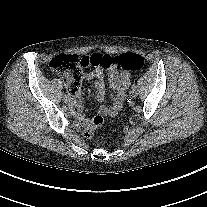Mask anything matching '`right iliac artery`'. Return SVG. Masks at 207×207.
Wrapping results in <instances>:
<instances>
[{"mask_svg":"<svg viewBox=\"0 0 207 207\" xmlns=\"http://www.w3.org/2000/svg\"><path fill=\"white\" fill-rule=\"evenodd\" d=\"M64 97H67L66 94L63 95Z\"/></svg>","mask_w":207,"mask_h":207,"instance_id":"obj_1","label":"right iliac artery"}]
</instances>
